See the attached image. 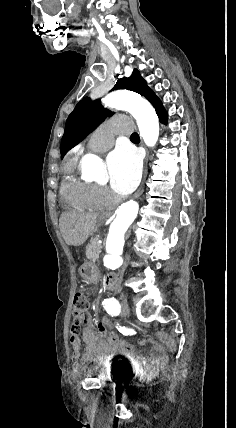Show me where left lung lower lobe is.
<instances>
[{
  "label": "left lung lower lobe",
  "instance_id": "0a47b994",
  "mask_svg": "<svg viewBox=\"0 0 236 428\" xmlns=\"http://www.w3.org/2000/svg\"><path fill=\"white\" fill-rule=\"evenodd\" d=\"M156 112L158 114L160 121L162 123H166L167 122V113H166V110L164 109V107L157 109Z\"/></svg>",
  "mask_w": 236,
  "mask_h": 428
}]
</instances>
